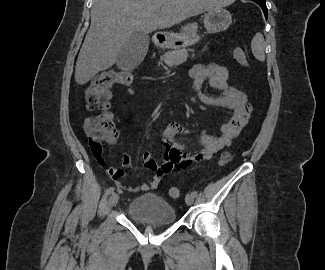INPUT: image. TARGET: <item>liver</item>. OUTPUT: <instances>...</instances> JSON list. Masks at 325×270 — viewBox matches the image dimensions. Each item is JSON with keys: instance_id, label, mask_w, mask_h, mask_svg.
<instances>
[{"instance_id": "obj_1", "label": "liver", "mask_w": 325, "mask_h": 270, "mask_svg": "<svg viewBox=\"0 0 325 270\" xmlns=\"http://www.w3.org/2000/svg\"><path fill=\"white\" fill-rule=\"evenodd\" d=\"M233 0H94L91 25L75 68V81L84 85L117 62L123 44L135 32L165 29ZM197 32V24L182 27L180 34Z\"/></svg>"}]
</instances>
